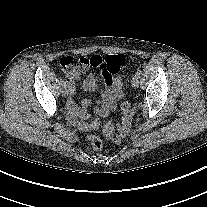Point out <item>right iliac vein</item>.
<instances>
[{
	"instance_id": "obj_1",
	"label": "right iliac vein",
	"mask_w": 207,
	"mask_h": 207,
	"mask_svg": "<svg viewBox=\"0 0 207 207\" xmlns=\"http://www.w3.org/2000/svg\"><path fill=\"white\" fill-rule=\"evenodd\" d=\"M69 92H70V88L64 86L63 89H62V95H63L64 97H66V96L69 95Z\"/></svg>"
}]
</instances>
